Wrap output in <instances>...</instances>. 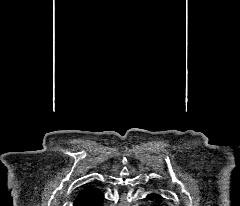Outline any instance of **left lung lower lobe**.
<instances>
[{
    "instance_id": "1",
    "label": "left lung lower lobe",
    "mask_w": 240,
    "mask_h": 206,
    "mask_svg": "<svg viewBox=\"0 0 240 206\" xmlns=\"http://www.w3.org/2000/svg\"><path fill=\"white\" fill-rule=\"evenodd\" d=\"M147 200L149 201L148 205L150 206H163V198L158 192H152L147 196Z\"/></svg>"
}]
</instances>
